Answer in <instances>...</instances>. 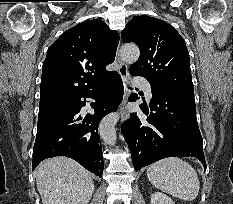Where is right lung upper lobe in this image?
Wrapping results in <instances>:
<instances>
[{"mask_svg": "<svg viewBox=\"0 0 233 204\" xmlns=\"http://www.w3.org/2000/svg\"><path fill=\"white\" fill-rule=\"evenodd\" d=\"M119 35L100 19L65 31L49 48L42 66L40 103L71 99L102 84L114 71Z\"/></svg>", "mask_w": 233, "mask_h": 204, "instance_id": "obj_1", "label": "right lung upper lobe"}]
</instances>
